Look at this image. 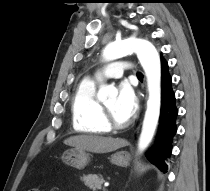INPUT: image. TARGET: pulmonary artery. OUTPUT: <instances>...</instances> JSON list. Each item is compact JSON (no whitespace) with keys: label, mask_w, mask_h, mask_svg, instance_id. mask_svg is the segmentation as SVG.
Masks as SVG:
<instances>
[{"label":"pulmonary artery","mask_w":210,"mask_h":191,"mask_svg":"<svg viewBox=\"0 0 210 191\" xmlns=\"http://www.w3.org/2000/svg\"><path fill=\"white\" fill-rule=\"evenodd\" d=\"M128 69H132V65L129 62L124 60L115 61L106 67L103 76H97V78L99 80L102 78H120L124 71ZM131 73L136 74L133 70Z\"/></svg>","instance_id":"obj_1"}]
</instances>
